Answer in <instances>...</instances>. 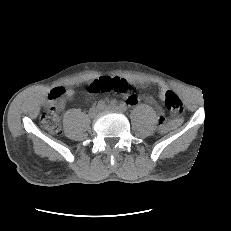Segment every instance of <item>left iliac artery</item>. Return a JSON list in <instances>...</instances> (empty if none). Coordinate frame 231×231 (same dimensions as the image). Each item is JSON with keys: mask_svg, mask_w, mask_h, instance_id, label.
Instances as JSON below:
<instances>
[{"mask_svg": "<svg viewBox=\"0 0 231 231\" xmlns=\"http://www.w3.org/2000/svg\"><path fill=\"white\" fill-rule=\"evenodd\" d=\"M119 107L121 108L122 111H127V109H128V107L125 103L120 104Z\"/></svg>", "mask_w": 231, "mask_h": 231, "instance_id": "1", "label": "left iliac artery"}]
</instances>
